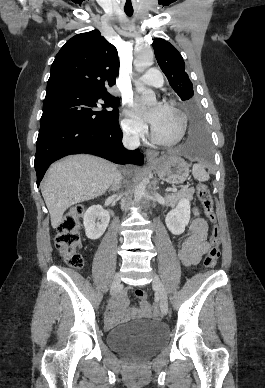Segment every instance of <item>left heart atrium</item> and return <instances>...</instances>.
I'll list each match as a JSON object with an SVG mask.
<instances>
[{
	"mask_svg": "<svg viewBox=\"0 0 265 388\" xmlns=\"http://www.w3.org/2000/svg\"><path fill=\"white\" fill-rule=\"evenodd\" d=\"M163 107L158 105L152 110L146 111L143 109L141 101L137 100L135 102V112L139 118L148 120L149 122L156 124L160 118Z\"/></svg>",
	"mask_w": 265,
	"mask_h": 388,
	"instance_id": "39dd6f15",
	"label": "left heart atrium"
}]
</instances>
